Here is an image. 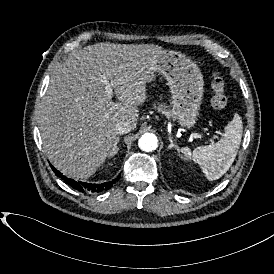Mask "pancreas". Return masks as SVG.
Instances as JSON below:
<instances>
[{"instance_id":"1","label":"pancreas","mask_w":274,"mask_h":274,"mask_svg":"<svg viewBox=\"0 0 274 274\" xmlns=\"http://www.w3.org/2000/svg\"><path fill=\"white\" fill-rule=\"evenodd\" d=\"M164 114H165V115H167V116H170V114H169V113H167V112H164Z\"/></svg>"}]
</instances>
